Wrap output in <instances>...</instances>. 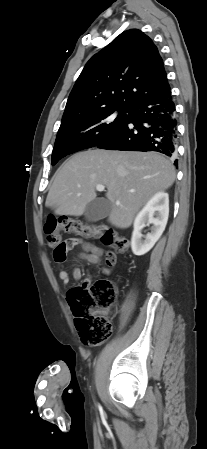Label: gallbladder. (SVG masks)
<instances>
[{
  "label": "gallbladder",
  "instance_id": "gallbladder-1",
  "mask_svg": "<svg viewBox=\"0 0 207 449\" xmlns=\"http://www.w3.org/2000/svg\"><path fill=\"white\" fill-rule=\"evenodd\" d=\"M111 203L105 198H96L87 204L84 215L90 222H96L109 216Z\"/></svg>",
  "mask_w": 207,
  "mask_h": 449
}]
</instances>
